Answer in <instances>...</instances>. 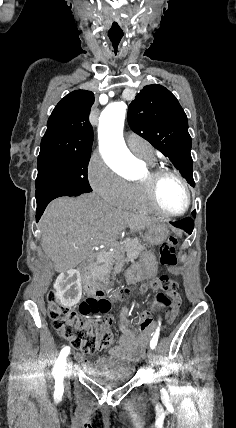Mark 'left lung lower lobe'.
Returning a JSON list of instances; mask_svg holds the SVG:
<instances>
[{
	"label": "left lung lower lobe",
	"mask_w": 236,
	"mask_h": 428,
	"mask_svg": "<svg viewBox=\"0 0 236 428\" xmlns=\"http://www.w3.org/2000/svg\"><path fill=\"white\" fill-rule=\"evenodd\" d=\"M192 215L195 218V216H196L195 211L192 212ZM171 224L175 227L183 229L188 234L192 233L193 227H194V222H193L192 218H185V219L177 221V222H171Z\"/></svg>",
	"instance_id": "left-lung-lower-lobe-1"
}]
</instances>
